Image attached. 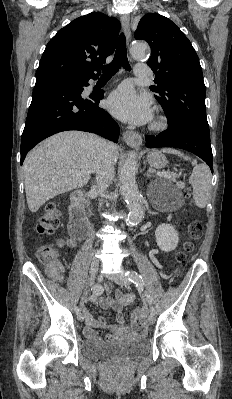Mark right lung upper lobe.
<instances>
[{
    "instance_id": "1",
    "label": "right lung upper lobe",
    "mask_w": 232,
    "mask_h": 399,
    "mask_svg": "<svg viewBox=\"0 0 232 399\" xmlns=\"http://www.w3.org/2000/svg\"><path fill=\"white\" fill-rule=\"evenodd\" d=\"M119 29L117 19L99 12L73 20L48 42L36 78L98 76L99 65L114 52Z\"/></svg>"
}]
</instances>
